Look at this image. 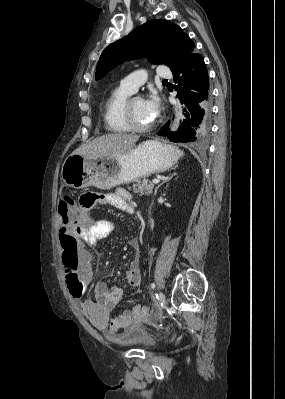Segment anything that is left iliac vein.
<instances>
[{
	"mask_svg": "<svg viewBox=\"0 0 285 399\" xmlns=\"http://www.w3.org/2000/svg\"><path fill=\"white\" fill-rule=\"evenodd\" d=\"M165 302H166L165 294L163 292H160L159 293V303L165 304Z\"/></svg>",
	"mask_w": 285,
	"mask_h": 399,
	"instance_id": "4c4485c4",
	"label": "left iliac vein"
}]
</instances>
